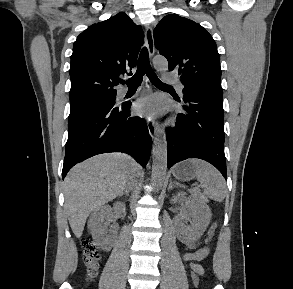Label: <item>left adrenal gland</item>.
<instances>
[{"label": "left adrenal gland", "instance_id": "obj_1", "mask_svg": "<svg viewBox=\"0 0 293 289\" xmlns=\"http://www.w3.org/2000/svg\"><path fill=\"white\" fill-rule=\"evenodd\" d=\"M172 188H174V184H173L172 180H170L168 190H171Z\"/></svg>", "mask_w": 293, "mask_h": 289}]
</instances>
